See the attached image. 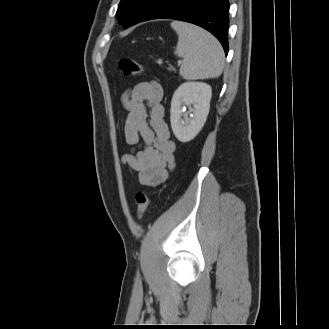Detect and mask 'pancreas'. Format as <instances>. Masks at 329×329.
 <instances>
[{"label":"pancreas","instance_id":"1","mask_svg":"<svg viewBox=\"0 0 329 329\" xmlns=\"http://www.w3.org/2000/svg\"><path fill=\"white\" fill-rule=\"evenodd\" d=\"M168 70L175 71V69H174L172 66H170V67L168 68Z\"/></svg>","mask_w":329,"mask_h":329}]
</instances>
